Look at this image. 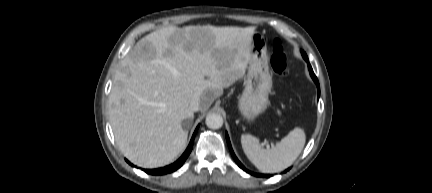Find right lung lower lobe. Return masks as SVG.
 I'll list each match as a JSON object with an SVG mask.
<instances>
[{"instance_id":"1","label":"right lung lower lobe","mask_w":432,"mask_h":193,"mask_svg":"<svg viewBox=\"0 0 432 193\" xmlns=\"http://www.w3.org/2000/svg\"><path fill=\"white\" fill-rule=\"evenodd\" d=\"M198 127L196 128V130H195V132H194V134L192 136V139H191V141H190V143H189L186 151L183 153V155L176 162H174L173 164L168 165L166 167H163V168L151 169V170H149V169H143V171H145L148 174H152V175H162V174H167V173L173 172V171L177 170L178 168H180L182 166V164L185 162V160L187 159L188 155L190 154V152L192 150L193 142H194V137H195V134H196V132L198 130Z\"/></svg>"}]
</instances>
